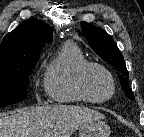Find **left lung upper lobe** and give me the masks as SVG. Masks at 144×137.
<instances>
[{"label": "left lung upper lobe", "mask_w": 144, "mask_h": 137, "mask_svg": "<svg viewBox=\"0 0 144 137\" xmlns=\"http://www.w3.org/2000/svg\"><path fill=\"white\" fill-rule=\"evenodd\" d=\"M85 37L94 51L105 61L113 65L121 74L120 82L126 95L134 100V95L124 77L129 76L124 58L113 39L103 29L81 22Z\"/></svg>", "instance_id": "left-lung-upper-lobe-1"}]
</instances>
